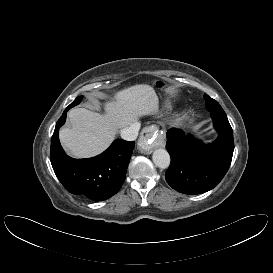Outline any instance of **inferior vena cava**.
<instances>
[{
	"label": "inferior vena cava",
	"instance_id": "602c4592",
	"mask_svg": "<svg viewBox=\"0 0 273 273\" xmlns=\"http://www.w3.org/2000/svg\"><path fill=\"white\" fill-rule=\"evenodd\" d=\"M140 129V123L138 121L132 123L130 126L120 130L121 137L127 141L136 140Z\"/></svg>",
	"mask_w": 273,
	"mask_h": 273
}]
</instances>
